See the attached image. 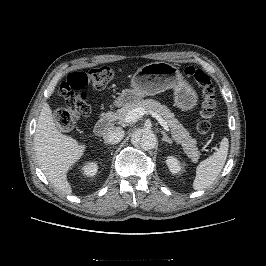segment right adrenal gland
<instances>
[{
	"instance_id": "2a0ac1e0",
	"label": "right adrenal gland",
	"mask_w": 266,
	"mask_h": 266,
	"mask_svg": "<svg viewBox=\"0 0 266 266\" xmlns=\"http://www.w3.org/2000/svg\"><path fill=\"white\" fill-rule=\"evenodd\" d=\"M104 144L106 145V146H108V144L106 143V142H104ZM109 149L111 148V147H108Z\"/></svg>"
}]
</instances>
